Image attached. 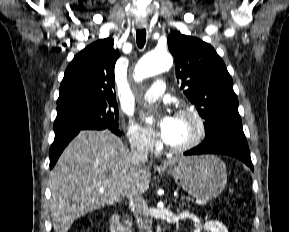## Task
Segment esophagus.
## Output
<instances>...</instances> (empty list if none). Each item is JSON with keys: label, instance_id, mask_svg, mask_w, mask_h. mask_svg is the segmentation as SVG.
Masks as SVG:
<instances>
[{"label": "esophagus", "instance_id": "34e87169", "mask_svg": "<svg viewBox=\"0 0 289 232\" xmlns=\"http://www.w3.org/2000/svg\"><path fill=\"white\" fill-rule=\"evenodd\" d=\"M146 25L144 23L138 24V28L143 29Z\"/></svg>", "mask_w": 289, "mask_h": 232}]
</instances>
